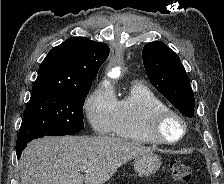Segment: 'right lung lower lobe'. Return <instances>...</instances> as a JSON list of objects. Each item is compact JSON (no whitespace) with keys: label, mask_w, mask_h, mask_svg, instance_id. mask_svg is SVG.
<instances>
[{"label":"right lung lower lobe","mask_w":224,"mask_h":184,"mask_svg":"<svg viewBox=\"0 0 224 184\" xmlns=\"http://www.w3.org/2000/svg\"><path fill=\"white\" fill-rule=\"evenodd\" d=\"M27 146V143L16 146V154H17V158L19 159L21 156L22 151L25 149V147Z\"/></svg>","instance_id":"right-lung-lower-lobe-1"}]
</instances>
